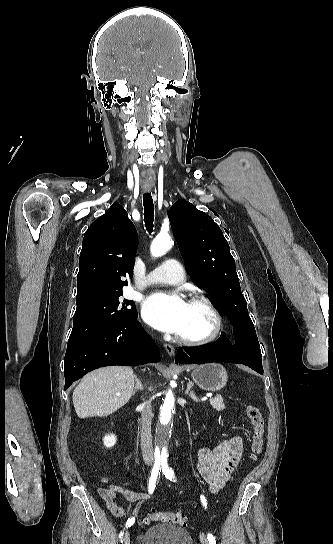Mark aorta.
<instances>
[{"label":"aorta","instance_id":"aorta-1","mask_svg":"<svg viewBox=\"0 0 333 544\" xmlns=\"http://www.w3.org/2000/svg\"><path fill=\"white\" fill-rule=\"evenodd\" d=\"M172 240L168 234H159L151 244L150 250L153 257L164 255L171 247ZM175 398L171 390L166 393V398L161 407L159 426L155 439V454L157 458L164 459L167 456V444L170 439V420L174 408Z\"/></svg>","mask_w":333,"mask_h":544}]
</instances>
